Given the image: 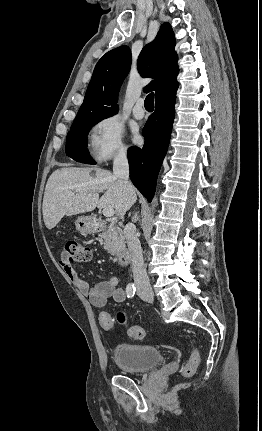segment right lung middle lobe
<instances>
[{
    "mask_svg": "<svg viewBox=\"0 0 262 431\" xmlns=\"http://www.w3.org/2000/svg\"><path fill=\"white\" fill-rule=\"evenodd\" d=\"M104 118H90V119H75L70 131L67 134L66 140V154L72 159L82 162L95 164L94 160L90 157L86 148V136L92 126Z\"/></svg>",
    "mask_w": 262,
    "mask_h": 431,
    "instance_id": "dd1d6c3e",
    "label": "right lung middle lobe"
}]
</instances>
